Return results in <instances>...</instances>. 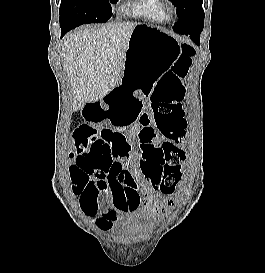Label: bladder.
Here are the masks:
<instances>
[{"mask_svg": "<svg viewBox=\"0 0 265 273\" xmlns=\"http://www.w3.org/2000/svg\"><path fill=\"white\" fill-rule=\"evenodd\" d=\"M156 224L155 218L142 209H134L127 213L120 234L127 239L144 238L151 234Z\"/></svg>", "mask_w": 265, "mask_h": 273, "instance_id": "1", "label": "bladder"}]
</instances>
